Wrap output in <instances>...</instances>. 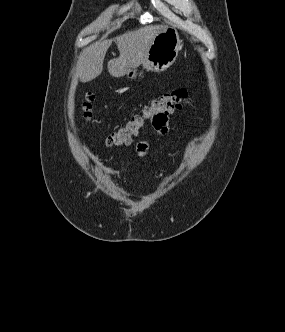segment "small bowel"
<instances>
[{
	"mask_svg": "<svg viewBox=\"0 0 285 332\" xmlns=\"http://www.w3.org/2000/svg\"><path fill=\"white\" fill-rule=\"evenodd\" d=\"M150 126H155L156 133H167L170 116L168 111H154L153 115L148 116ZM147 142L140 141L137 145V151L144 154L147 150Z\"/></svg>",
	"mask_w": 285,
	"mask_h": 332,
	"instance_id": "1",
	"label": "small bowel"
}]
</instances>
